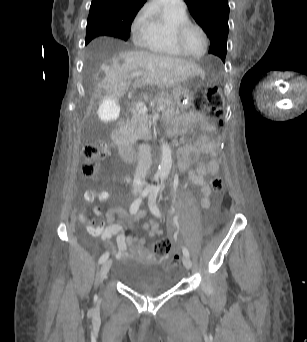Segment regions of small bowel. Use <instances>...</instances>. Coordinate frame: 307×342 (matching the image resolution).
<instances>
[{"label":"small bowel","instance_id":"obj_1","mask_svg":"<svg viewBox=\"0 0 307 342\" xmlns=\"http://www.w3.org/2000/svg\"><path fill=\"white\" fill-rule=\"evenodd\" d=\"M194 129H198L199 134L193 143L187 144L179 150L178 168L179 170L184 171L189 169L192 165H196L195 169L189 171V179L201 190L202 197L200 200V207L202 209H208L211 205V189L206 182V177L208 175L216 174L219 170L218 143L215 138L210 137V135L216 132V126L204 115L192 113L189 116L185 130L186 132L191 133ZM203 155L209 158L208 163L201 162V156ZM84 199L88 204L95 200L106 202L109 199V195L104 191L89 189L84 193ZM93 212L98 216H102L101 208L98 206L93 208ZM117 213L125 218L128 217V213L125 210L111 208L103 215L102 222L95 225L92 221L87 220L86 209H84L80 213L79 219L85 225V228L90 235L100 237L112 248L119 260H127L129 257L128 249L134 248L136 252L142 251L145 247L146 239L137 236H126L123 233V227L115 220V215ZM143 215L144 214L141 212L137 215V218H142ZM131 227L133 228V225H131ZM143 229L148 231L149 238H155L163 233L159 223L155 220L145 223ZM113 236H116V245L111 241Z\"/></svg>","mask_w":307,"mask_h":342}]
</instances>
